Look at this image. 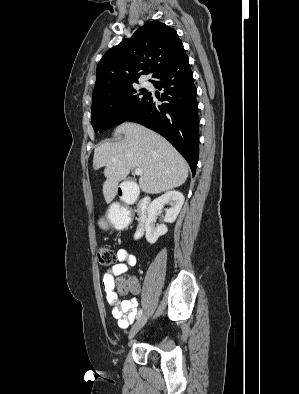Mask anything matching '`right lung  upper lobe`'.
I'll return each instance as SVG.
<instances>
[{
    "label": "right lung upper lobe",
    "instance_id": "cb5924a9",
    "mask_svg": "<svg viewBox=\"0 0 299 394\" xmlns=\"http://www.w3.org/2000/svg\"><path fill=\"white\" fill-rule=\"evenodd\" d=\"M184 55L183 44L175 30L158 21L148 22L130 39L105 53L96 70L93 93L138 82L140 74L148 68L156 78Z\"/></svg>",
    "mask_w": 299,
    "mask_h": 394
}]
</instances>
